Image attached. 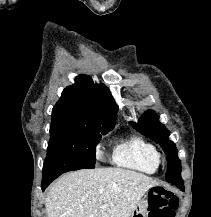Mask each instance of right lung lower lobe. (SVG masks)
Masks as SVG:
<instances>
[{
    "instance_id": "98d812e1",
    "label": "right lung lower lobe",
    "mask_w": 211,
    "mask_h": 217,
    "mask_svg": "<svg viewBox=\"0 0 211 217\" xmlns=\"http://www.w3.org/2000/svg\"><path fill=\"white\" fill-rule=\"evenodd\" d=\"M61 174H56L47 178H43L42 179V184H41V188L44 191L46 189V187L53 181L55 180L58 176H60Z\"/></svg>"
}]
</instances>
